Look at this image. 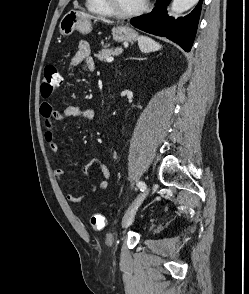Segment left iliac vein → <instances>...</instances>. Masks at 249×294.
<instances>
[{"label":"left iliac vein","instance_id":"1","mask_svg":"<svg viewBox=\"0 0 249 294\" xmlns=\"http://www.w3.org/2000/svg\"><path fill=\"white\" fill-rule=\"evenodd\" d=\"M149 191H150V187L147 186L145 188V190L142 191V193H140L137 196V198L134 200V202L132 203V205L130 206V208L128 209V211L126 212V214L123 218V222H122L123 228L126 229L132 225V223L134 221L135 213H136L137 209L139 208V206L141 205V203L146 198V196L148 195Z\"/></svg>","mask_w":249,"mask_h":294}]
</instances>
